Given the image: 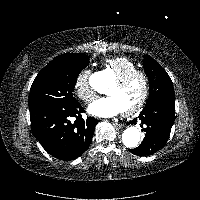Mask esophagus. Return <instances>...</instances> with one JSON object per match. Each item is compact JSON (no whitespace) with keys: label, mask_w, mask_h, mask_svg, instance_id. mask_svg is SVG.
Returning <instances> with one entry per match:
<instances>
[{"label":"esophagus","mask_w":200,"mask_h":200,"mask_svg":"<svg viewBox=\"0 0 200 200\" xmlns=\"http://www.w3.org/2000/svg\"><path fill=\"white\" fill-rule=\"evenodd\" d=\"M114 124V126L115 127H117V128H123V124H121V123H113Z\"/></svg>","instance_id":"1"}]
</instances>
